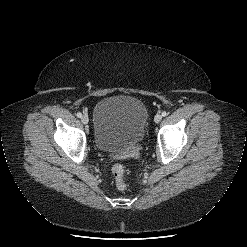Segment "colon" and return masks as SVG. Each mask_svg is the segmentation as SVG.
Returning <instances> with one entry per match:
<instances>
[{
  "label": "colon",
  "instance_id": "colon-1",
  "mask_svg": "<svg viewBox=\"0 0 247 247\" xmlns=\"http://www.w3.org/2000/svg\"><path fill=\"white\" fill-rule=\"evenodd\" d=\"M112 174L115 179L116 187L119 190H124L127 186L125 180V169L122 165L116 164L112 167Z\"/></svg>",
  "mask_w": 247,
  "mask_h": 247
}]
</instances>
